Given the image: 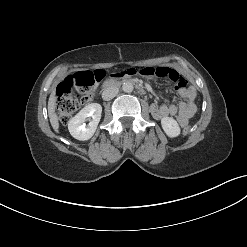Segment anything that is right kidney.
I'll use <instances>...</instances> for the list:
<instances>
[{
	"label": "right kidney",
	"mask_w": 247,
	"mask_h": 247,
	"mask_svg": "<svg viewBox=\"0 0 247 247\" xmlns=\"http://www.w3.org/2000/svg\"><path fill=\"white\" fill-rule=\"evenodd\" d=\"M102 106L98 103H91L85 106L68 123V129L72 137L80 141L89 140L95 133L101 119ZM92 117L89 124L85 121Z\"/></svg>",
	"instance_id": "1"
}]
</instances>
